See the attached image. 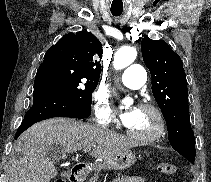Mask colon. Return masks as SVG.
<instances>
[{
	"instance_id": "5ec220e1",
	"label": "colon",
	"mask_w": 211,
	"mask_h": 182,
	"mask_svg": "<svg viewBox=\"0 0 211 182\" xmlns=\"http://www.w3.org/2000/svg\"><path fill=\"white\" fill-rule=\"evenodd\" d=\"M158 171L161 174L170 176V175H174L176 173L177 168L173 164L161 163L158 165ZM54 182H65V181L62 179H58V180H55Z\"/></svg>"
}]
</instances>
